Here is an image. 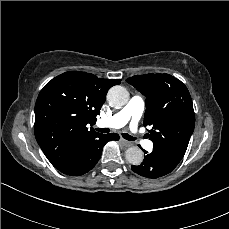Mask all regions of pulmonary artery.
Returning a JSON list of instances; mask_svg holds the SVG:
<instances>
[{
	"instance_id": "1",
	"label": "pulmonary artery",
	"mask_w": 229,
	"mask_h": 229,
	"mask_svg": "<svg viewBox=\"0 0 229 229\" xmlns=\"http://www.w3.org/2000/svg\"><path fill=\"white\" fill-rule=\"evenodd\" d=\"M145 108L144 100L141 96H134L119 112H117L109 120H98V127L121 128L129 123L130 131L133 132V139L139 141L141 147H146L147 150L153 148V143L148 142L146 138H142V134L137 131L139 121L143 115Z\"/></svg>"
}]
</instances>
